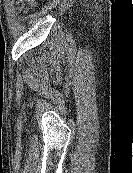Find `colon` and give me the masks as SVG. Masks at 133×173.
Listing matches in <instances>:
<instances>
[{
	"label": "colon",
	"instance_id": "obj_1",
	"mask_svg": "<svg viewBox=\"0 0 133 173\" xmlns=\"http://www.w3.org/2000/svg\"><path fill=\"white\" fill-rule=\"evenodd\" d=\"M33 1H34V0H29L30 3H32ZM20 4H21V5L23 4L22 0L20 1Z\"/></svg>",
	"mask_w": 133,
	"mask_h": 173
}]
</instances>
